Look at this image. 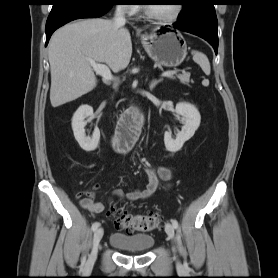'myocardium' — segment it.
<instances>
[{"instance_id": "obj_1", "label": "myocardium", "mask_w": 278, "mask_h": 278, "mask_svg": "<svg viewBox=\"0 0 278 278\" xmlns=\"http://www.w3.org/2000/svg\"><path fill=\"white\" fill-rule=\"evenodd\" d=\"M182 11H183V5L178 3V4H176L175 12L171 16L162 17V16H158V15L154 14L150 10L148 5L144 6V12H145V15L147 16V18H149L153 21H156L159 23H165V24L175 22L181 16Z\"/></svg>"}]
</instances>
